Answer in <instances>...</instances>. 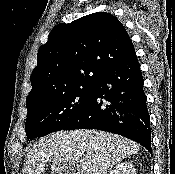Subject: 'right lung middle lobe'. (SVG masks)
<instances>
[{
  "instance_id": "obj_1",
  "label": "right lung middle lobe",
  "mask_w": 175,
  "mask_h": 174,
  "mask_svg": "<svg viewBox=\"0 0 175 174\" xmlns=\"http://www.w3.org/2000/svg\"><path fill=\"white\" fill-rule=\"evenodd\" d=\"M93 85L70 89L27 106L25 123L29 139L62 130L86 109Z\"/></svg>"
}]
</instances>
